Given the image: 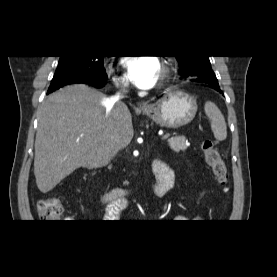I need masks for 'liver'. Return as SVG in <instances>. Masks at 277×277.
Wrapping results in <instances>:
<instances>
[{
    "mask_svg": "<svg viewBox=\"0 0 277 277\" xmlns=\"http://www.w3.org/2000/svg\"><path fill=\"white\" fill-rule=\"evenodd\" d=\"M106 97L75 84L52 93L39 109L34 175L42 193L80 167L99 168L133 138L131 113L115 104L106 114Z\"/></svg>",
    "mask_w": 277,
    "mask_h": 277,
    "instance_id": "liver-1",
    "label": "liver"
}]
</instances>
